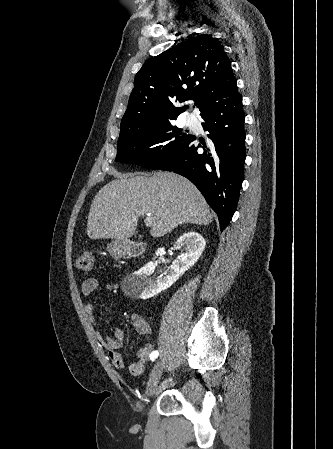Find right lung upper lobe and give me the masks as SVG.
<instances>
[{
  "label": "right lung upper lobe",
  "instance_id": "obj_1",
  "mask_svg": "<svg viewBox=\"0 0 333 449\" xmlns=\"http://www.w3.org/2000/svg\"><path fill=\"white\" fill-rule=\"evenodd\" d=\"M237 93L223 46L209 34L197 35L144 63L136 74L118 141L175 120L186 109L175 107L176 102L194 100L202 115Z\"/></svg>",
  "mask_w": 333,
  "mask_h": 449
}]
</instances>
